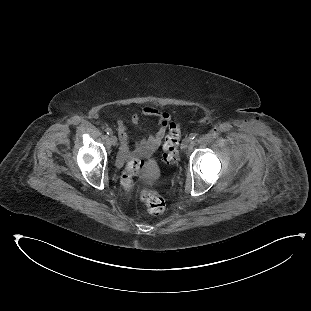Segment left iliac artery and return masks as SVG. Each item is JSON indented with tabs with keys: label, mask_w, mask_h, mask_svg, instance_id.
<instances>
[{
	"label": "left iliac artery",
	"mask_w": 311,
	"mask_h": 311,
	"mask_svg": "<svg viewBox=\"0 0 311 311\" xmlns=\"http://www.w3.org/2000/svg\"><path fill=\"white\" fill-rule=\"evenodd\" d=\"M195 137H196V134H195V133H191V134L189 135L190 140L195 139Z\"/></svg>",
	"instance_id": "44dca946"
}]
</instances>
